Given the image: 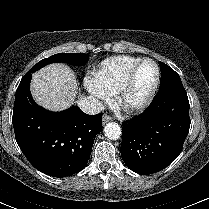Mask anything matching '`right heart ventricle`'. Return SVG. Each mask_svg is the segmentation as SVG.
<instances>
[{"instance_id":"right-heart-ventricle-1","label":"right heart ventricle","mask_w":209,"mask_h":209,"mask_svg":"<svg viewBox=\"0 0 209 209\" xmlns=\"http://www.w3.org/2000/svg\"><path fill=\"white\" fill-rule=\"evenodd\" d=\"M139 59V57L130 55L107 58L94 71V80L109 95H115L127 70Z\"/></svg>"}]
</instances>
